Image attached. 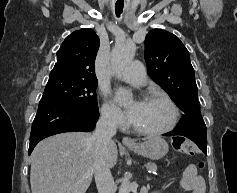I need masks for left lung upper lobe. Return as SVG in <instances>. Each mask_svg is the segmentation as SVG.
Wrapping results in <instances>:
<instances>
[{
  "label": "left lung upper lobe",
  "mask_w": 237,
  "mask_h": 193,
  "mask_svg": "<svg viewBox=\"0 0 237 193\" xmlns=\"http://www.w3.org/2000/svg\"><path fill=\"white\" fill-rule=\"evenodd\" d=\"M145 60L149 76L183 112L175 130L207 137L198 104L194 69L183 43L172 33L153 29L145 38Z\"/></svg>",
  "instance_id": "5c2ea615"
}]
</instances>
